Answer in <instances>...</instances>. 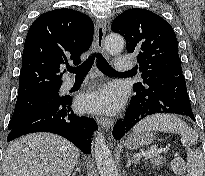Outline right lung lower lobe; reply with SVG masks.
<instances>
[{
    "instance_id": "right-lung-lower-lobe-1",
    "label": "right lung lower lobe",
    "mask_w": 205,
    "mask_h": 176,
    "mask_svg": "<svg viewBox=\"0 0 205 176\" xmlns=\"http://www.w3.org/2000/svg\"><path fill=\"white\" fill-rule=\"evenodd\" d=\"M70 105L69 96L48 102L11 129L7 140L33 132H51L65 137L83 153L90 154L91 137L98 126L92 118L75 115Z\"/></svg>"
}]
</instances>
